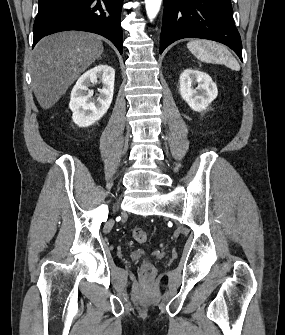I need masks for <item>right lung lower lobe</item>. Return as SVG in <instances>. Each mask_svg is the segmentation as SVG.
Listing matches in <instances>:
<instances>
[{
    "mask_svg": "<svg viewBox=\"0 0 285 335\" xmlns=\"http://www.w3.org/2000/svg\"><path fill=\"white\" fill-rule=\"evenodd\" d=\"M122 3L123 0H39L33 47L44 36L80 30L106 37L122 54Z\"/></svg>",
    "mask_w": 285,
    "mask_h": 335,
    "instance_id": "98d812e1",
    "label": "right lung lower lobe"
}]
</instances>
